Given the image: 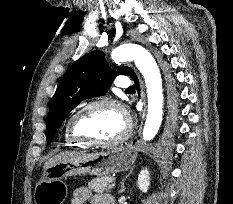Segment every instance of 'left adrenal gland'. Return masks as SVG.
<instances>
[{
  "label": "left adrenal gland",
  "instance_id": "left-adrenal-gland-1",
  "mask_svg": "<svg viewBox=\"0 0 233 204\" xmlns=\"http://www.w3.org/2000/svg\"><path fill=\"white\" fill-rule=\"evenodd\" d=\"M132 171H133V168L129 171V173L126 175V177L122 180L121 189L118 191V194H121V193H123L125 191L124 182L131 175Z\"/></svg>",
  "mask_w": 233,
  "mask_h": 204
}]
</instances>
